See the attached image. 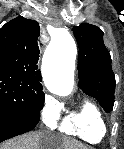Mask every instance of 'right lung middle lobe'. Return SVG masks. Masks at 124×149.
Returning a JSON list of instances; mask_svg holds the SVG:
<instances>
[{"label": "right lung middle lobe", "instance_id": "right-lung-middle-lobe-1", "mask_svg": "<svg viewBox=\"0 0 124 149\" xmlns=\"http://www.w3.org/2000/svg\"><path fill=\"white\" fill-rule=\"evenodd\" d=\"M21 75L0 70V115H38L44 104V92Z\"/></svg>", "mask_w": 124, "mask_h": 149}]
</instances>
